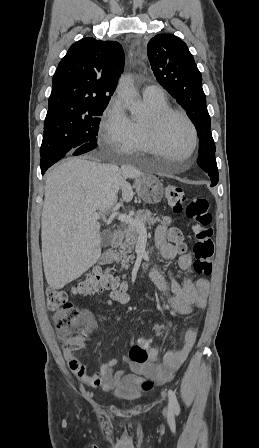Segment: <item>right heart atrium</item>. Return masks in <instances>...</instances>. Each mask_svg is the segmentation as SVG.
<instances>
[{"label": "right heart atrium", "mask_w": 259, "mask_h": 448, "mask_svg": "<svg viewBox=\"0 0 259 448\" xmlns=\"http://www.w3.org/2000/svg\"><path fill=\"white\" fill-rule=\"evenodd\" d=\"M98 143L113 157H128L133 151V134L122 102L114 97L106 108L98 129Z\"/></svg>", "instance_id": "d8ad5b80"}]
</instances>
